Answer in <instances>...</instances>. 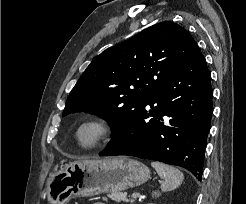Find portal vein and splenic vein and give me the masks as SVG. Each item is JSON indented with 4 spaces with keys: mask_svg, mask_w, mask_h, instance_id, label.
<instances>
[{
    "mask_svg": "<svg viewBox=\"0 0 246 204\" xmlns=\"http://www.w3.org/2000/svg\"><path fill=\"white\" fill-rule=\"evenodd\" d=\"M138 194H133L132 195V198H136Z\"/></svg>",
    "mask_w": 246,
    "mask_h": 204,
    "instance_id": "18ae733b",
    "label": "portal vein and splenic vein"
}]
</instances>
